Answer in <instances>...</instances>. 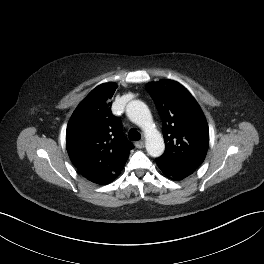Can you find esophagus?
Listing matches in <instances>:
<instances>
[{
	"instance_id": "1",
	"label": "esophagus",
	"mask_w": 264,
	"mask_h": 264,
	"mask_svg": "<svg viewBox=\"0 0 264 264\" xmlns=\"http://www.w3.org/2000/svg\"><path fill=\"white\" fill-rule=\"evenodd\" d=\"M135 146L137 147V148H143L144 147V141L143 140H140V141H136L135 142Z\"/></svg>"
}]
</instances>
